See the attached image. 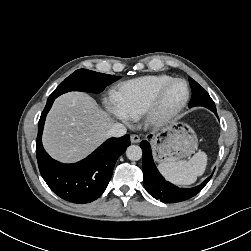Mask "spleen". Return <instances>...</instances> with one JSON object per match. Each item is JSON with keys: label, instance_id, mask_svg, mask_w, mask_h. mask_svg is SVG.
Wrapping results in <instances>:
<instances>
[{"label": "spleen", "instance_id": "spleen-1", "mask_svg": "<svg viewBox=\"0 0 251 251\" xmlns=\"http://www.w3.org/2000/svg\"><path fill=\"white\" fill-rule=\"evenodd\" d=\"M206 165V153L197 152L190 160L163 162L158 168L168 181L177 185H189L204 173Z\"/></svg>", "mask_w": 251, "mask_h": 251}]
</instances>
